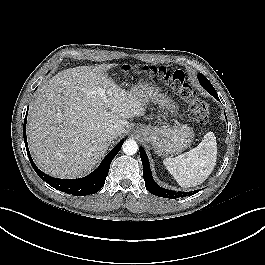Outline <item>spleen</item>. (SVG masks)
I'll list each match as a JSON object with an SVG mask.
<instances>
[{
  "instance_id": "3e777b00",
  "label": "spleen",
  "mask_w": 265,
  "mask_h": 265,
  "mask_svg": "<svg viewBox=\"0 0 265 265\" xmlns=\"http://www.w3.org/2000/svg\"><path fill=\"white\" fill-rule=\"evenodd\" d=\"M216 159V137L213 132H208L196 148L175 158H166L163 164L181 187H191L209 177Z\"/></svg>"
}]
</instances>
